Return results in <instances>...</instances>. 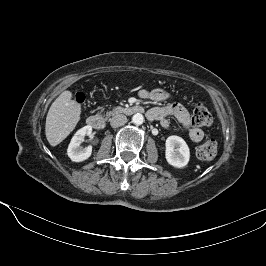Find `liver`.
<instances>
[{
	"label": "liver",
	"instance_id": "1",
	"mask_svg": "<svg viewBox=\"0 0 266 266\" xmlns=\"http://www.w3.org/2000/svg\"><path fill=\"white\" fill-rule=\"evenodd\" d=\"M81 106L72 100V92H63L52 103L45 125V134L52 146L61 143L76 127L80 120Z\"/></svg>",
	"mask_w": 266,
	"mask_h": 266
}]
</instances>
